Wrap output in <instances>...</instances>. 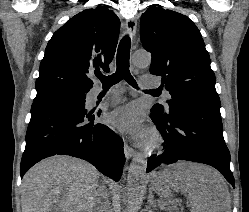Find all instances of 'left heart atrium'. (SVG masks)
<instances>
[{"label":"left heart atrium","mask_w":249,"mask_h":212,"mask_svg":"<svg viewBox=\"0 0 249 212\" xmlns=\"http://www.w3.org/2000/svg\"><path fill=\"white\" fill-rule=\"evenodd\" d=\"M112 127L120 131L135 135L140 139L145 138V129L142 124L140 110L135 104H129L113 111L109 117Z\"/></svg>","instance_id":"obj_1"}]
</instances>
